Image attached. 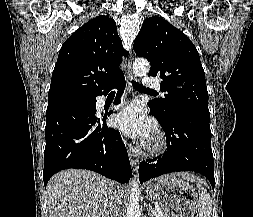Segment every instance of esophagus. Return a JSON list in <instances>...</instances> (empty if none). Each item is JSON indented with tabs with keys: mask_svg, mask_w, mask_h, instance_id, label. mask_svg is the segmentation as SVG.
Instances as JSON below:
<instances>
[{
	"mask_svg": "<svg viewBox=\"0 0 253 217\" xmlns=\"http://www.w3.org/2000/svg\"><path fill=\"white\" fill-rule=\"evenodd\" d=\"M132 60H133V57H132V53H131L130 57L128 59L127 75H126L127 85L130 90H131V82L135 79V76L132 72ZM128 155H129L131 167H132L133 171H136L138 164H139V156H138L137 149L135 147L129 145Z\"/></svg>",
	"mask_w": 253,
	"mask_h": 217,
	"instance_id": "1",
	"label": "esophagus"
}]
</instances>
